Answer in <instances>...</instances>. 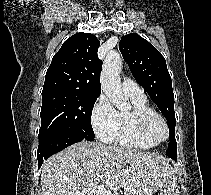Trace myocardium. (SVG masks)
<instances>
[{
    "mask_svg": "<svg viewBox=\"0 0 211 195\" xmlns=\"http://www.w3.org/2000/svg\"><path fill=\"white\" fill-rule=\"evenodd\" d=\"M154 120H159L164 128H165V138L162 141L156 142L154 141L149 134V126ZM136 129L138 135L147 143L152 145L153 147L158 146L164 142H166L169 138V127L167 121L163 116L156 112H147L137 114L135 117Z\"/></svg>",
    "mask_w": 211,
    "mask_h": 195,
    "instance_id": "1",
    "label": "myocardium"
}]
</instances>
